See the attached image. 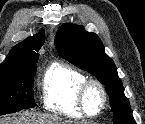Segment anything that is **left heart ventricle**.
I'll list each match as a JSON object with an SVG mask.
<instances>
[{"instance_id": "b2bd125f", "label": "left heart ventricle", "mask_w": 145, "mask_h": 124, "mask_svg": "<svg viewBox=\"0 0 145 124\" xmlns=\"http://www.w3.org/2000/svg\"><path fill=\"white\" fill-rule=\"evenodd\" d=\"M86 104L90 113L98 111L101 104V94L97 89L93 88L89 91Z\"/></svg>"}]
</instances>
